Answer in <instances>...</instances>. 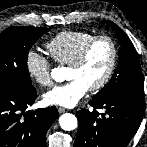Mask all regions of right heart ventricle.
<instances>
[{"label": "right heart ventricle", "mask_w": 147, "mask_h": 147, "mask_svg": "<svg viewBox=\"0 0 147 147\" xmlns=\"http://www.w3.org/2000/svg\"><path fill=\"white\" fill-rule=\"evenodd\" d=\"M94 36L86 31H63L46 43V49L59 64L70 65Z\"/></svg>", "instance_id": "1"}]
</instances>
